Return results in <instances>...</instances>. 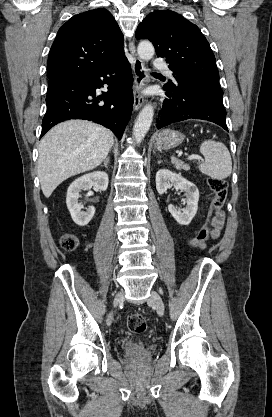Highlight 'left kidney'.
Here are the masks:
<instances>
[{
	"label": "left kidney",
	"instance_id": "1",
	"mask_svg": "<svg viewBox=\"0 0 272 417\" xmlns=\"http://www.w3.org/2000/svg\"><path fill=\"white\" fill-rule=\"evenodd\" d=\"M171 185L176 189L184 191L187 199L185 201L186 207L182 212L178 211L172 204L168 206V210L180 225H188L198 209L199 191L195 184L183 178L181 174L167 169H160L156 173V189L158 193H166Z\"/></svg>",
	"mask_w": 272,
	"mask_h": 417
}]
</instances>
